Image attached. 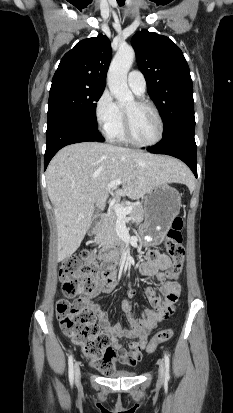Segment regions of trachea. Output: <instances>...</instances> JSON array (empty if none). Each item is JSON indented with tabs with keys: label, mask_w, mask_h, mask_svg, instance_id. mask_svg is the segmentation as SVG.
I'll return each instance as SVG.
<instances>
[{
	"label": "trachea",
	"mask_w": 233,
	"mask_h": 413,
	"mask_svg": "<svg viewBox=\"0 0 233 413\" xmlns=\"http://www.w3.org/2000/svg\"><path fill=\"white\" fill-rule=\"evenodd\" d=\"M117 2L120 6H123L125 4V0H117Z\"/></svg>",
	"instance_id": "3493384b"
}]
</instances>
